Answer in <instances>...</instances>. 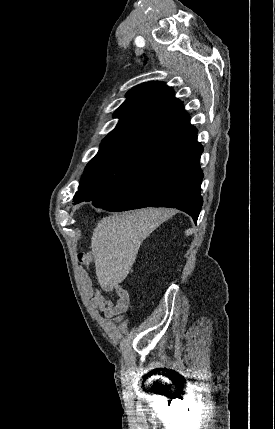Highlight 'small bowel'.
<instances>
[{"label":"small bowel","mask_w":275,"mask_h":429,"mask_svg":"<svg viewBox=\"0 0 275 429\" xmlns=\"http://www.w3.org/2000/svg\"><path fill=\"white\" fill-rule=\"evenodd\" d=\"M82 289L86 297L89 298L91 306L106 317H112L123 313L129 305V294L120 285L110 286L107 289L114 291L118 295V300L114 304L106 300L100 290L93 288L89 278L83 277Z\"/></svg>","instance_id":"c3829d8e"}]
</instances>
